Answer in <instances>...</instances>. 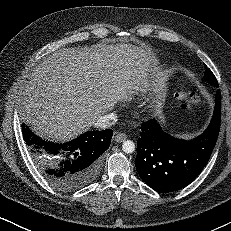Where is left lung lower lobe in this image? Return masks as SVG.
Here are the masks:
<instances>
[{
	"label": "left lung lower lobe",
	"instance_id": "left-lung-lower-lobe-1",
	"mask_svg": "<svg viewBox=\"0 0 231 231\" xmlns=\"http://www.w3.org/2000/svg\"><path fill=\"white\" fill-rule=\"evenodd\" d=\"M221 122V93H216L212 120L192 140L164 132L152 119L141 125L135 166L140 178L157 192H173L190 184L203 170L215 147Z\"/></svg>",
	"mask_w": 231,
	"mask_h": 231
}]
</instances>
